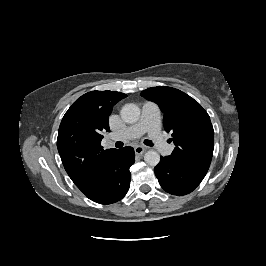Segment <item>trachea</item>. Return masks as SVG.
<instances>
[{
    "label": "trachea",
    "instance_id": "1",
    "mask_svg": "<svg viewBox=\"0 0 266 266\" xmlns=\"http://www.w3.org/2000/svg\"><path fill=\"white\" fill-rule=\"evenodd\" d=\"M143 143H144L145 145H147V146H153V145H154V144L152 143V141H151V140H148V139H145ZM115 146H116L117 148H120V147L123 146V143L120 142V141H118V142L115 143Z\"/></svg>",
    "mask_w": 266,
    "mask_h": 266
}]
</instances>
